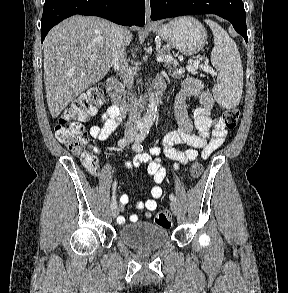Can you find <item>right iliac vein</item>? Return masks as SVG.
<instances>
[{"label":"right iliac vein","instance_id":"63e3f726","mask_svg":"<svg viewBox=\"0 0 288 293\" xmlns=\"http://www.w3.org/2000/svg\"><path fill=\"white\" fill-rule=\"evenodd\" d=\"M118 213H119V211H118L117 207L111 209V216L113 218H115L118 215Z\"/></svg>","mask_w":288,"mask_h":293}]
</instances>
